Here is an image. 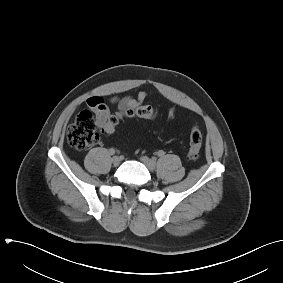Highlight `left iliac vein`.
I'll use <instances>...</instances> for the list:
<instances>
[{
  "mask_svg": "<svg viewBox=\"0 0 283 283\" xmlns=\"http://www.w3.org/2000/svg\"><path fill=\"white\" fill-rule=\"evenodd\" d=\"M140 161L148 168L149 171L153 172L156 168V163L154 160L147 156H141Z\"/></svg>",
  "mask_w": 283,
  "mask_h": 283,
  "instance_id": "4c4485c4",
  "label": "left iliac vein"
}]
</instances>
